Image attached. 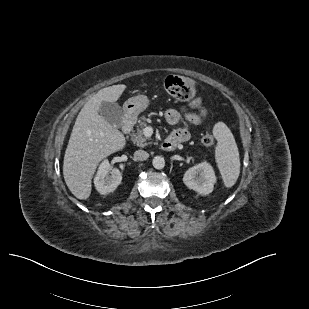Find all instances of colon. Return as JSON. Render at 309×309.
Listing matches in <instances>:
<instances>
[{"label": "colon", "mask_w": 309, "mask_h": 309, "mask_svg": "<svg viewBox=\"0 0 309 309\" xmlns=\"http://www.w3.org/2000/svg\"><path fill=\"white\" fill-rule=\"evenodd\" d=\"M165 88L167 92L178 101L188 103L192 108L198 109L202 115H206L207 111L202 106L201 100L197 95L196 86L192 81L181 76L171 75L165 80ZM202 143L210 146L214 143L211 135H205Z\"/></svg>", "instance_id": "5ec220e1"}]
</instances>
